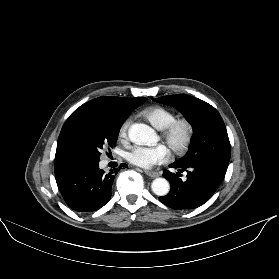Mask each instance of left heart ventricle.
<instances>
[{
	"label": "left heart ventricle",
	"instance_id": "1",
	"mask_svg": "<svg viewBox=\"0 0 279 279\" xmlns=\"http://www.w3.org/2000/svg\"><path fill=\"white\" fill-rule=\"evenodd\" d=\"M183 136H184V130L182 128L177 129L173 137V144L178 145L182 141Z\"/></svg>",
	"mask_w": 279,
	"mask_h": 279
}]
</instances>
